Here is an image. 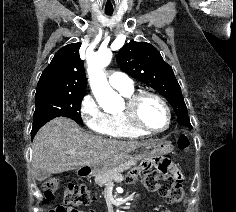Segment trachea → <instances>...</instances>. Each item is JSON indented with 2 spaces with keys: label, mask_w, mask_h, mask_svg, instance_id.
<instances>
[{
  "label": "trachea",
  "mask_w": 236,
  "mask_h": 212,
  "mask_svg": "<svg viewBox=\"0 0 236 212\" xmlns=\"http://www.w3.org/2000/svg\"><path fill=\"white\" fill-rule=\"evenodd\" d=\"M105 14H106L107 16H111V15L113 14V12H105Z\"/></svg>",
  "instance_id": "1"
}]
</instances>
